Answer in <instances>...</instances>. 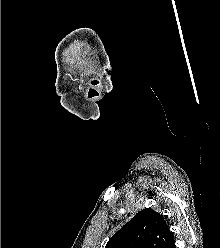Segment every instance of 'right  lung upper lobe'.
Here are the masks:
<instances>
[{
    "label": "right lung upper lobe",
    "mask_w": 220,
    "mask_h": 248,
    "mask_svg": "<svg viewBox=\"0 0 220 248\" xmlns=\"http://www.w3.org/2000/svg\"><path fill=\"white\" fill-rule=\"evenodd\" d=\"M172 240L162 215L146 208L116 232L105 248H165Z\"/></svg>",
    "instance_id": "right-lung-upper-lobe-1"
}]
</instances>
